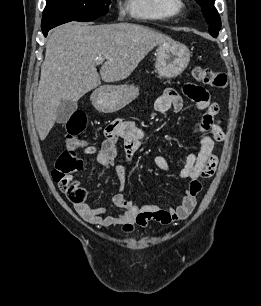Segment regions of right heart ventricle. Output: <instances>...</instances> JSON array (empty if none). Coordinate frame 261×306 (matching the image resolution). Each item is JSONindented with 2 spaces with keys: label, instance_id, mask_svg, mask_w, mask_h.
I'll list each match as a JSON object with an SVG mask.
<instances>
[{
  "label": "right heart ventricle",
  "instance_id": "e07e8e85",
  "mask_svg": "<svg viewBox=\"0 0 261 306\" xmlns=\"http://www.w3.org/2000/svg\"><path fill=\"white\" fill-rule=\"evenodd\" d=\"M129 14L142 20H166L172 15L166 0H127Z\"/></svg>",
  "mask_w": 261,
  "mask_h": 306
}]
</instances>
